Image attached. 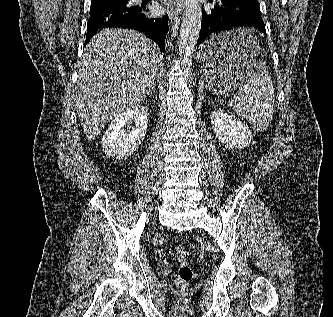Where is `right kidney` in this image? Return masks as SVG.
<instances>
[{
	"mask_svg": "<svg viewBox=\"0 0 333 317\" xmlns=\"http://www.w3.org/2000/svg\"><path fill=\"white\" fill-rule=\"evenodd\" d=\"M136 121L132 131L126 132L123 127L130 121ZM148 128V110L142 105L127 109L116 116L109 124L103 138L102 150L109 157L124 159L133 154L141 145Z\"/></svg>",
	"mask_w": 333,
	"mask_h": 317,
	"instance_id": "1",
	"label": "right kidney"
}]
</instances>
